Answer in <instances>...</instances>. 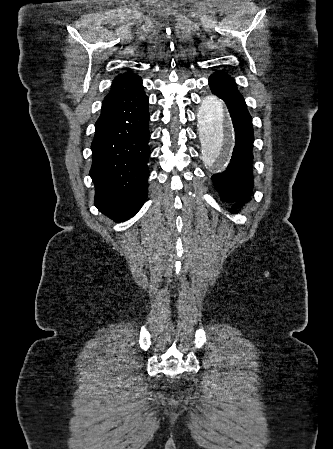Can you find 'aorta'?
Masks as SVG:
<instances>
[{
	"label": "aorta",
	"mask_w": 333,
	"mask_h": 449,
	"mask_svg": "<svg viewBox=\"0 0 333 449\" xmlns=\"http://www.w3.org/2000/svg\"><path fill=\"white\" fill-rule=\"evenodd\" d=\"M203 160L217 168L227 159L234 145V132L223 101L210 95L199 111Z\"/></svg>",
	"instance_id": "762f6f07"
}]
</instances>
